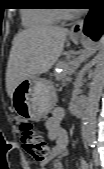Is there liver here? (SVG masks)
I'll return each instance as SVG.
<instances>
[{
	"label": "liver",
	"instance_id": "1",
	"mask_svg": "<svg viewBox=\"0 0 104 169\" xmlns=\"http://www.w3.org/2000/svg\"><path fill=\"white\" fill-rule=\"evenodd\" d=\"M68 34V29L63 27L37 26L14 37L6 70V89L10 98L24 79L52 68L63 52Z\"/></svg>",
	"mask_w": 104,
	"mask_h": 169
}]
</instances>
